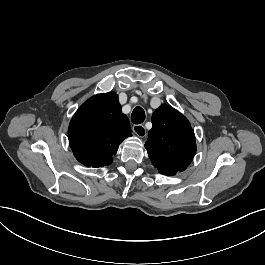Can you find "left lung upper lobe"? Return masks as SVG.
I'll return each instance as SVG.
<instances>
[{"mask_svg": "<svg viewBox=\"0 0 265 265\" xmlns=\"http://www.w3.org/2000/svg\"><path fill=\"white\" fill-rule=\"evenodd\" d=\"M153 127L145 143L159 173L184 171L196 153L195 135L189 121L170 105L162 104L152 115Z\"/></svg>", "mask_w": 265, "mask_h": 265, "instance_id": "5c2ea615", "label": "left lung upper lobe"}]
</instances>
